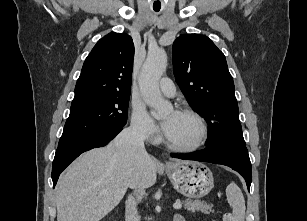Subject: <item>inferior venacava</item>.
I'll use <instances>...</instances> for the list:
<instances>
[{"label": "inferior vena cava", "mask_w": 307, "mask_h": 221, "mask_svg": "<svg viewBox=\"0 0 307 221\" xmlns=\"http://www.w3.org/2000/svg\"><path fill=\"white\" fill-rule=\"evenodd\" d=\"M145 139L146 132L144 128L138 125H132L122 130L116 137L115 142L118 145L125 146L130 152L146 155L147 152L144 147ZM139 220L140 217L137 211V202L132 195H129L128 199L126 200L125 221Z\"/></svg>", "instance_id": "inferior-vena-cava-1"}]
</instances>
